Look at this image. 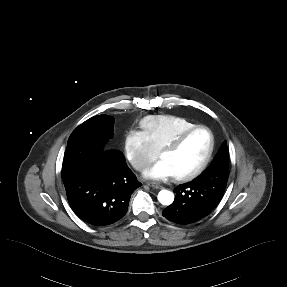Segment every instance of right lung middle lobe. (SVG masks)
Instances as JSON below:
<instances>
[{
	"instance_id": "right-lung-middle-lobe-1",
	"label": "right lung middle lobe",
	"mask_w": 287,
	"mask_h": 287,
	"mask_svg": "<svg viewBox=\"0 0 287 287\" xmlns=\"http://www.w3.org/2000/svg\"><path fill=\"white\" fill-rule=\"evenodd\" d=\"M113 125L112 116H94L78 126L70 135L68 142L83 137H96L107 141L114 136Z\"/></svg>"
}]
</instances>
